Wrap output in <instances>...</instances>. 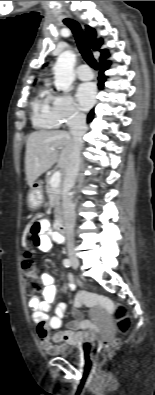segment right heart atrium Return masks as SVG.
I'll use <instances>...</instances> for the list:
<instances>
[{
    "label": "right heart atrium",
    "mask_w": 155,
    "mask_h": 395,
    "mask_svg": "<svg viewBox=\"0 0 155 395\" xmlns=\"http://www.w3.org/2000/svg\"><path fill=\"white\" fill-rule=\"evenodd\" d=\"M52 115L56 127L79 123L84 116L69 94H57L52 98Z\"/></svg>",
    "instance_id": "right-heart-atrium-1"
}]
</instances>
